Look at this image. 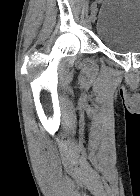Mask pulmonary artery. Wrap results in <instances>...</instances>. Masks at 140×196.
Segmentation results:
<instances>
[{"instance_id":"e3ab8cb5","label":"pulmonary artery","mask_w":140,"mask_h":196,"mask_svg":"<svg viewBox=\"0 0 140 196\" xmlns=\"http://www.w3.org/2000/svg\"><path fill=\"white\" fill-rule=\"evenodd\" d=\"M56 192H77V191H56Z\"/></svg>"}]
</instances>
